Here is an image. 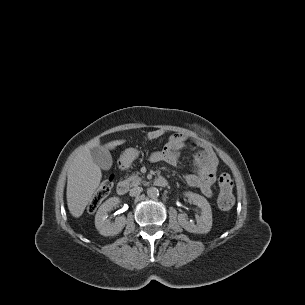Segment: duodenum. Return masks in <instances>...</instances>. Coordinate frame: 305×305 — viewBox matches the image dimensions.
<instances>
[{"label": "duodenum", "mask_w": 305, "mask_h": 305, "mask_svg": "<svg viewBox=\"0 0 305 305\" xmlns=\"http://www.w3.org/2000/svg\"><path fill=\"white\" fill-rule=\"evenodd\" d=\"M154 184L159 187H165L168 181L164 177H158L154 180ZM129 184L127 181H120L117 185V192L119 195H125L128 192Z\"/></svg>", "instance_id": "duodenum-1"}]
</instances>
